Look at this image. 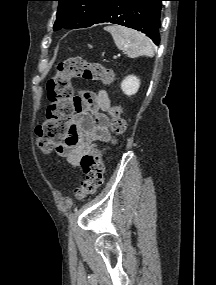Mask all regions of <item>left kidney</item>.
Listing matches in <instances>:
<instances>
[{"label":"left kidney","mask_w":216,"mask_h":285,"mask_svg":"<svg viewBox=\"0 0 216 285\" xmlns=\"http://www.w3.org/2000/svg\"><path fill=\"white\" fill-rule=\"evenodd\" d=\"M139 87L140 80L134 75L127 76L121 83V89L127 96L137 93Z\"/></svg>","instance_id":"obj_1"}]
</instances>
